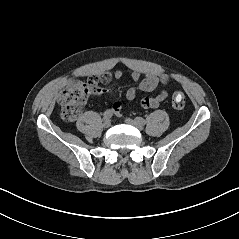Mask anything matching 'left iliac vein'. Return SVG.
<instances>
[{
  "label": "left iliac vein",
  "instance_id": "4c4485c4",
  "mask_svg": "<svg viewBox=\"0 0 239 239\" xmlns=\"http://www.w3.org/2000/svg\"><path fill=\"white\" fill-rule=\"evenodd\" d=\"M125 122L129 125H132L134 126L135 128H137L138 130H142L143 129V125L138 123L136 120H133V119H130V118H127L125 119Z\"/></svg>",
  "mask_w": 239,
  "mask_h": 239
}]
</instances>
